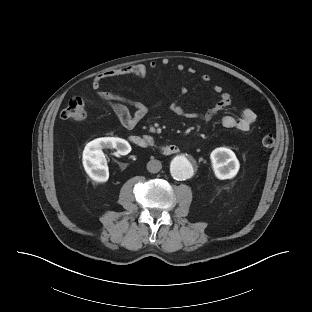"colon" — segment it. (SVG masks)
I'll return each mask as SVG.
<instances>
[{"mask_svg":"<svg viewBox=\"0 0 312 312\" xmlns=\"http://www.w3.org/2000/svg\"><path fill=\"white\" fill-rule=\"evenodd\" d=\"M61 118L64 120L81 121L87 116L85 102L80 97H74L69 100L66 107L61 112ZM275 139L273 135L266 134L261 138L260 146L263 149H269L274 146Z\"/></svg>","mask_w":312,"mask_h":312,"instance_id":"colon-1","label":"colon"}]
</instances>
